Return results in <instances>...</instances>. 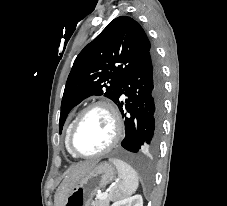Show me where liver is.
Here are the masks:
<instances>
[{"label":"liver","mask_w":227,"mask_h":206,"mask_svg":"<svg viewBox=\"0 0 227 206\" xmlns=\"http://www.w3.org/2000/svg\"><path fill=\"white\" fill-rule=\"evenodd\" d=\"M96 162H87L77 165L65 176L63 182L59 186L55 195L56 206H63L66 200L77 182L88 173L94 166Z\"/></svg>","instance_id":"obj_1"}]
</instances>
